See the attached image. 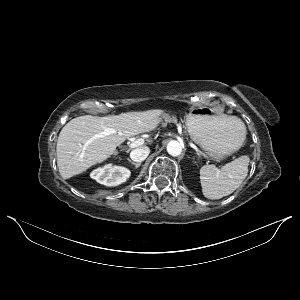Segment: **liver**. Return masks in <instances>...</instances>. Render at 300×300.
<instances>
[{"label": "liver", "instance_id": "6515ba94", "mask_svg": "<svg viewBox=\"0 0 300 300\" xmlns=\"http://www.w3.org/2000/svg\"><path fill=\"white\" fill-rule=\"evenodd\" d=\"M161 112H128L114 116H80L61 130L57 146V165L64 179L81 174L110 157L125 139L151 132L161 121ZM233 116H228L232 119ZM152 144L153 140H147Z\"/></svg>", "mask_w": 300, "mask_h": 300}]
</instances>
